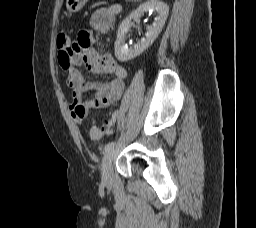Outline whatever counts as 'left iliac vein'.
<instances>
[{
	"label": "left iliac vein",
	"instance_id": "obj_1",
	"mask_svg": "<svg viewBox=\"0 0 256 228\" xmlns=\"http://www.w3.org/2000/svg\"><path fill=\"white\" fill-rule=\"evenodd\" d=\"M115 157V149L114 147L108 151L102 162V183L105 186H110L113 181V170H112V162Z\"/></svg>",
	"mask_w": 256,
	"mask_h": 228
}]
</instances>
